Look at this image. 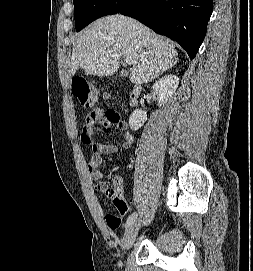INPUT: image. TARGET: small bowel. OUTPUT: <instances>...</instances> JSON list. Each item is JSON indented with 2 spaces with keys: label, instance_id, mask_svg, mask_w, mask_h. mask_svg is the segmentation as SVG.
Returning a JSON list of instances; mask_svg holds the SVG:
<instances>
[{
  "label": "small bowel",
  "instance_id": "c3829d8e",
  "mask_svg": "<svg viewBox=\"0 0 253 271\" xmlns=\"http://www.w3.org/2000/svg\"><path fill=\"white\" fill-rule=\"evenodd\" d=\"M98 127L105 129L115 127L121 130L123 139L122 146L125 148L132 147L135 140L128 124L121 118H119L118 121H115L108 115L104 116L100 110L92 111L86 116L82 129L81 141L83 144L91 146L92 148V152L87 164L88 171L92 180L94 181L95 189L103 191V189L100 187V179L103 178L104 174L99 170V167L102 164L103 156L116 153L118 151V146L112 143H94L93 137ZM114 182L120 184L121 180L120 178H116ZM128 208L129 207L127 205L124 214L128 211Z\"/></svg>",
  "mask_w": 253,
  "mask_h": 271
}]
</instances>
